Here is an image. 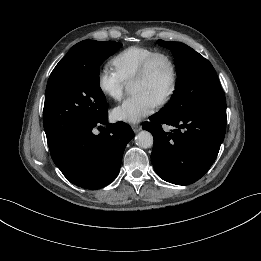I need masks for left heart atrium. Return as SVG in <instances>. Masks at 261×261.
Here are the masks:
<instances>
[{"instance_id": "39dd6f15", "label": "left heart atrium", "mask_w": 261, "mask_h": 261, "mask_svg": "<svg viewBox=\"0 0 261 261\" xmlns=\"http://www.w3.org/2000/svg\"><path fill=\"white\" fill-rule=\"evenodd\" d=\"M157 102L145 93H137L113 108L111 116L115 121L138 123L152 114Z\"/></svg>"}]
</instances>
